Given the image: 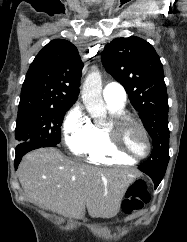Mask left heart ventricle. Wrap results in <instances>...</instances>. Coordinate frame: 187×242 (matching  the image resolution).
<instances>
[{
	"label": "left heart ventricle",
	"mask_w": 187,
	"mask_h": 242,
	"mask_svg": "<svg viewBox=\"0 0 187 242\" xmlns=\"http://www.w3.org/2000/svg\"><path fill=\"white\" fill-rule=\"evenodd\" d=\"M123 146L134 156L143 155L147 150V144L143 134L133 126H129L123 133Z\"/></svg>",
	"instance_id": "obj_1"
}]
</instances>
